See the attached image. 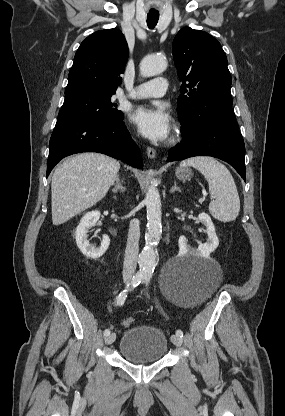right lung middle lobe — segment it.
Listing matches in <instances>:
<instances>
[{
    "mask_svg": "<svg viewBox=\"0 0 285 416\" xmlns=\"http://www.w3.org/2000/svg\"><path fill=\"white\" fill-rule=\"evenodd\" d=\"M111 97H65L57 123L101 122L116 123L123 120V113L116 109Z\"/></svg>",
    "mask_w": 285,
    "mask_h": 416,
    "instance_id": "right-lung-middle-lobe-1",
    "label": "right lung middle lobe"
}]
</instances>
